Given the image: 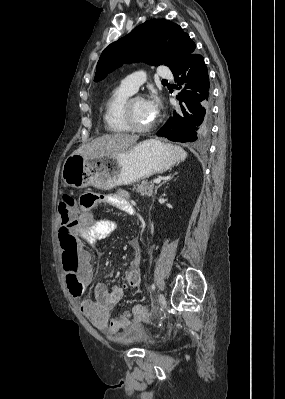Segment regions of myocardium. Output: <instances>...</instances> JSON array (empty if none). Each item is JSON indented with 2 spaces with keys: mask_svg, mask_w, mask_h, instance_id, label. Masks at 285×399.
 <instances>
[{
  "mask_svg": "<svg viewBox=\"0 0 285 399\" xmlns=\"http://www.w3.org/2000/svg\"><path fill=\"white\" fill-rule=\"evenodd\" d=\"M135 100H143L140 96H133L126 100L124 107H123V116L125 124L127 125L128 129L133 132H146L150 130L154 125L155 121L146 125V126H138L134 122L133 113H132V104Z\"/></svg>",
  "mask_w": 285,
  "mask_h": 399,
  "instance_id": "f54148a6",
  "label": "myocardium"
}]
</instances>
